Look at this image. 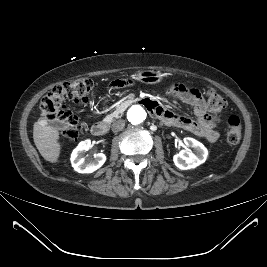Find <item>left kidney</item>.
I'll return each instance as SVG.
<instances>
[{
    "instance_id": "1",
    "label": "left kidney",
    "mask_w": 267,
    "mask_h": 267,
    "mask_svg": "<svg viewBox=\"0 0 267 267\" xmlns=\"http://www.w3.org/2000/svg\"><path fill=\"white\" fill-rule=\"evenodd\" d=\"M184 143L187 147H193L194 152L182 150L179 154L174 155L173 161L176 167L181 170H188L206 161L208 150L202 143L190 137L185 138Z\"/></svg>"
}]
</instances>
